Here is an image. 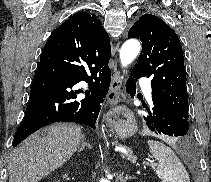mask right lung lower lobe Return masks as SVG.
I'll use <instances>...</instances> for the list:
<instances>
[{
    "label": "right lung lower lobe",
    "mask_w": 211,
    "mask_h": 182,
    "mask_svg": "<svg viewBox=\"0 0 211 182\" xmlns=\"http://www.w3.org/2000/svg\"><path fill=\"white\" fill-rule=\"evenodd\" d=\"M78 42V41H77ZM68 27H58L49 37L33 80L25 117L12 145L17 146L38 129L58 121L82 123L95 128L101 104L108 93L109 55L97 47L79 46ZM86 81L85 98L74 86Z\"/></svg>",
    "instance_id": "right-lung-lower-lobe-1"
}]
</instances>
